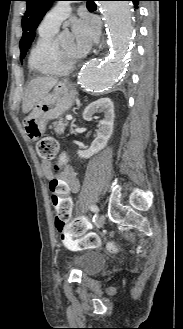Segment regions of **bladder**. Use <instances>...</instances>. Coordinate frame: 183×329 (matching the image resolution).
Masks as SVG:
<instances>
[{
    "mask_svg": "<svg viewBox=\"0 0 183 329\" xmlns=\"http://www.w3.org/2000/svg\"><path fill=\"white\" fill-rule=\"evenodd\" d=\"M106 263V259L96 252H87L77 255L73 259V266L81 275L89 276L100 271Z\"/></svg>",
    "mask_w": 183,
    "mask_h": 329,
    "instance_id": "1",
    "label": "bladder"
}]
</instances>
